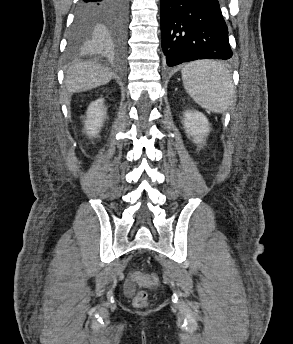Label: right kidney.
I'll use <instances>...</instances> for the list:
<instances>
[{
  "mask_svg": "<svg viewBox=\"0 0 293 344\" xmlns=\"http://www.w3.org/2000/svg\"><path fill=\"white\" fill-rule=\"evenodd\" d=\"M106 117V108L104 106V99L100 98L92 102L86 112V120L84 121V128L89 137H95L99 134Z\"/></svg>",
  "mask_w": 293,
  "mask_h": 344,
  "instance_id": "obj_1",
  "label": "right kidney"
}]
</instances>
